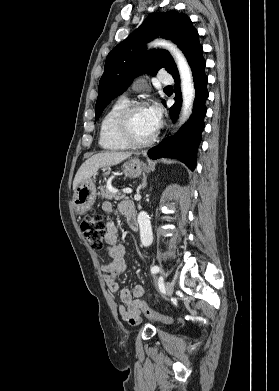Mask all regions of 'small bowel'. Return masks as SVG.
Instances as JSON below:
<instances>
[{"mask_svg":"<svg viewBox=\"0 0 279 391\" xmlns=\"http://www.w3.org/2000/svg\"><path fill=\"white\" fill-rule=\"evenodd\" d=\"M130 204L128 201L122 202L118 206V211L125 212L126 207ZM102 209L109 217L106 224L105 241L107 244L106 252L110 261L101 267L105 274L104 280L109 290L119 295L118 311L121 317L128 323L136 325L141 321L140 302L143 300L144 289L140 285H135L131 291L120 289L116 276L126 269L124 260L125 248L119 241L118 228L115 222L110 219V216L115 212L113 205L110 202H105L102 205Z\"/></svg>","mask_w":279,"mask_h":391,"instance_id":"obj_1","label":"small bowel"}]
</instances>
